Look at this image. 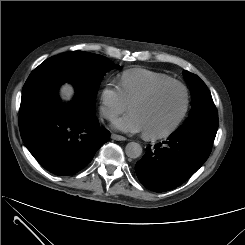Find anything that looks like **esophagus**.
<instances>
[{
	"instance_id": "34e87169",
	"label": "esophagus",
	"mask_w": 245,
	"mask_h": 245,
	"mask_svg": "<svg viewBox=\"0 0 245 245\" xmlns=\"http://www.w3.org/2000/svg\"><path fill=\"white\" fill-rule=\"evenodd\" d=\"M111 138L114 139V140H117V141H125V140H127L126 137L118 135V134H114V133L111 134Z\"/></svg>"
}]
</instances>
